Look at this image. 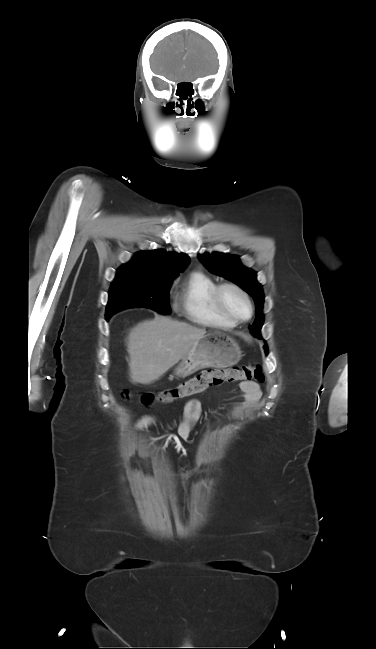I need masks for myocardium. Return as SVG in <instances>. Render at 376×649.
I'll use <instances>...</instances> for the list:
<instances>
[{
	"label": "myocardium",
	"mask_w": 376,
	"mask_h": 649,
	"mask_svg": "<svg viewBox=\"0 0 376 649\" xmlns=\"http://www.w3.org/2000/svg\"><path fill=\"white\" fill-rule=\"evenodd\" d=\"M226 291H234L245 300V302L248 305V315L246 317H238L229 310L224 299V294ZM214 298L222 314L228 319H230L231 321H233L234 323L245 322L252 317L253 314L252 300L249 294L238 284L233 282H224L218 284L214 292Z\"/></svg>",
	"instance_id": "obj_1"
}]
</instances>
